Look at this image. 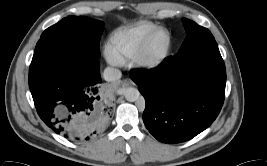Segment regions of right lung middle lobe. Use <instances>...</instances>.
<instances>
[{
    "instance_id": "obj_1",
    "label": "right lung middle lobe",
    "mask_w": 267,
    "mask_h": 166,
    "mask_svg": "<svg viewBox=\"0 0 267 166\" xmlns=\"http://www.w3.org/2000/svg\"><path fill=\"white\" fill-rule=\"evenodd\" d=\"M103 29L104 23L101 21L84 16H69L46 29L41 37H64L99 56V43Z\"/></svg>"
}]
</instances>
